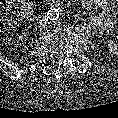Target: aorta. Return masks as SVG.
<instances>
[{
  "instance_id": "762f6f07",
  "label": "aorta",
  "mask_w": 118,
  "mask_h": 118,
  "mask_svg": "<svg viewBox=\"0 0 118 118\" xmlns=\"http://www.w3.org/2000/svg\"><path fill=\"white\" fill-rule=\"evenodd\" d=\"M60 13L57 9H51L47 12V17L50 20H56L59 17Z\"/></svg>"
}]
</instances>
